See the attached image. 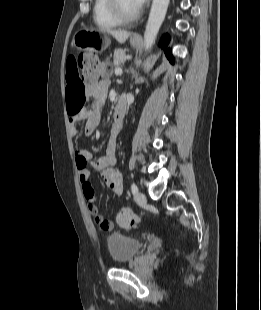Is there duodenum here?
I'll return each instance as SVG.
<instances>
[{
    "label": "duodenum",
    "instance_id": "1",
    "mask_svg": "<svg viewBox=\"0 0 261 310\" xmlns=\"http://www.w3.org/2000/svg\"><path fill=\"white\" fill-rule=\"evenodd\" d=\"M127 109V102L124 97L119 98L114 108V119L116 125L120 128L122 120L125 116Z\"/></svg>",
    "mask_w": 261,
    "mask_h": 310
}]
</instances>
